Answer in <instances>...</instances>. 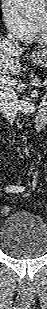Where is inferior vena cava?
Listing matches in <instances>:
<instances>
[{
	"label": "inferior vena cava",
	"instance_id": "1",
	"mask_svg": "<svg viewBox=\"0 0 47 309\" xmlns=\"http://www.w3.org/2000/svg\"><path fill=\"white\" fill-rule=\"evenodd\" d=\"M7 38L10 41L18 43L17 41H15V38L11 33L7 35ZM0 97L1 110L6 116V118L12 123L15 119L18 107V97L16 95V92L10 85L2 86Z\"/></svg>",
	"mask_w": 47,
	"mask_h": 309
}]
</instances>
